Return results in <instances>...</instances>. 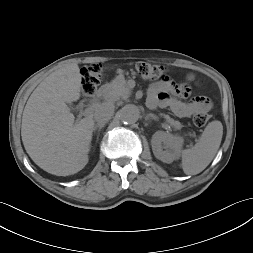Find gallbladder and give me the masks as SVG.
<instances>
[{
	"mask_svg": "<svg viewBox=\"0 0 253 253\" xmlns=\"http://www.w3.org/2000/svg\"><path fill=\"white\" fill-rule=\"evenodd\" d=\"M70 109H75L72 104H69Z\"/></svg>",
	"mask_w": 253,
	"mask_h": 253,
	"instance_id": "gallbladder-1",
	"label": "gallbladder"
}]
</instances>
